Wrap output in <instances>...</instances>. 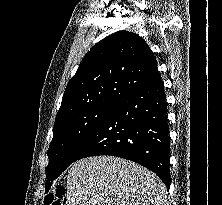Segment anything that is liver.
Segmentation results:
<instances>
[{"label": "liver", "mask_w": 222, "mask_h": 205, "mask_svg": "<svg viewBox=\"0 0 222 205\" xmlns=\"http://www.w3.org/2000/svg\"><path fill=\"white\" fill-rule=\"evenodd\" d=\"M166 187L134 162L94 156L75 162L67 177L66 205H166Z\"/></svg>", "instance_id": "6515ba94"}]
</instances>
